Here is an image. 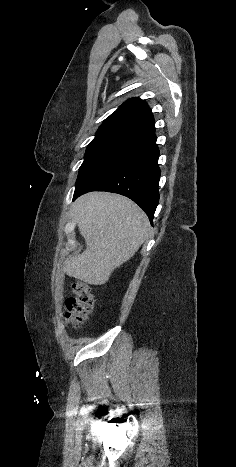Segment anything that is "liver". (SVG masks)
<instances>
[{"label":"liver","instance_id":"liver-1","mask_svg":"<svg viewBox=\"0 0 236 467\" xmlns=\"http://www.w3.org/2000/svg\"><path fill=\"white\" fill-rule=\"evenodd\" d=\"M73 207L86 249L65 260L64 272L91 285L105 284L148 237V217L130 199L107 192L85 194Z\"/></svg>","mask_w":236,"mask_h":467}]
</instances>
